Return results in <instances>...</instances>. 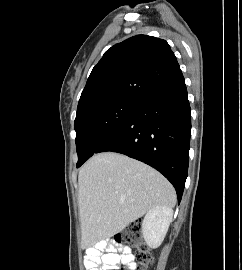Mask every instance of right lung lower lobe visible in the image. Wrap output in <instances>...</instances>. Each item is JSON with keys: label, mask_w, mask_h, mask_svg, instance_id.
<instances>
[{"label": "right lung lower lobe", "mask_w": 242, "mask_h": 270, "mask_svg": "<svg viewBox=\"0 0 242 270\" xmlns=\"http://www.w3.org/2000/svg\"><path fill=\"white\" fill-rule=\"evenodd\" d=\"M190 112L181 72L136 101L95 153L118 152L154 167L172 183L180 203L189 163Z\"/></svg>", "instance_id": "obj_1"}]
</instances>
